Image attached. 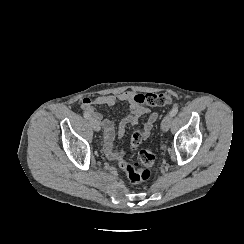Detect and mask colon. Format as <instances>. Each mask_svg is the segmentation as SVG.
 <instances>
[{
  "mask_svg": "<svg viewBox=\"0 0 244 244\" xmlns=\"http://www.w3.org/2000/svg\"><path fill=\"white\" fill-rule=\"evenodd\" d=\"M134 101L141 106L152 108L170 105L173 102V98L164 92H149L135 95ZM142 142L143 135L140 131H135L131 134V149H136ZM115 158L118 161L119 167L125 173L127 180L132 184H137L147 180L151 176L156 155L153 148H144L138 152L134 164L120 159L118 155H115Z\"/></svg>",
  "mask_w": 244,
  "mask_h": 244,
  "instance_id": "colon-1",
  "label": "colon"
}]
</instances>
